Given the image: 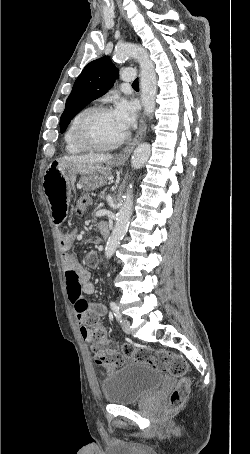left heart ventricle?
Wrapping results in <instances>:
<instances>
[{
  "label": "left heart ventricle",
  "mask_w": 250,
  "mask_h": 454,
  "mask_svg": "<svg viewBox=\"0 0 250 454\" xmlns=\"http://www.w3.org/2000/svg\"><path fill=\"white\" fill-rule=\"evenodd\" d=\"M85 133L94 143L110 144L124 136L126 131L119 125L113 111H108L94 116L87 124Z\"/></svg>",
  "instance_id": "b2bd125f"
}]
</instances>
